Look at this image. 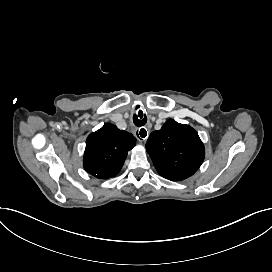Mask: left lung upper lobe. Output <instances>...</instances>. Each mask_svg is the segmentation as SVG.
Here are the masks:
<instances>
[{
	"label": "left lung upper lobe",
	"instance_id": "left-lung-upper-lobe-1",
	"mask_svg": "<svg viewBox=\"0 0 272 272\" xmlns=\"http://www.w3.org/2000/svg\"><path fill=\"white\" fill-rule=\"evenodd\" d=\"M146 150L158 173L172 181L192 176L205 156L204 145L196 130L173 119L150 134Z\"/></svg>",
	"mask_w": 272,
	"mask_h": 272
}]
</instances>
